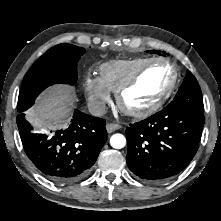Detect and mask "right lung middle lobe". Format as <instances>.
<instances>
[{"label":"right lung middle lobe","mask_w":221,"mask_h":221,"mask_svg":"<svg viewBox=\"0 0 221 221\" xmlns=\"http://www.w3.org/2000/svg\"><path fill=\"white\" fill-rule=\"evenodd\" d=\"M85 49L59 44L42 55L26 73L18 98L19 113L30 108L36 97L48 86L56 83L74 85L77 81L76 65Z\"/></svg>","instance_id":"1"}]
</instances>
